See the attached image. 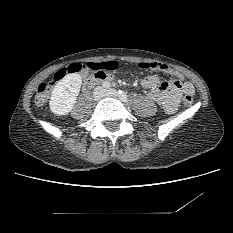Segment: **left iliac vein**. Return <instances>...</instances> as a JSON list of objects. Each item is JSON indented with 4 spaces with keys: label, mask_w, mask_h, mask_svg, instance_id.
<instances>
[{
    "label": "left iliac vein",
    "mask_w": 233,
    "mask_h": 233,
    "mask_svg": "<svg viewBox=\"0 0 233 233\" xmlns=\"http://www.w3.org/2000/svg\"><path fill=\"white\" fill-rule=\"evenodd\" d=\"M106 95H107V96L116 97V96L118 95V93H117V91L114 90V89H109V90H107Z\"/></svg>",
    "instance_id": "1"
}]
</instances>
